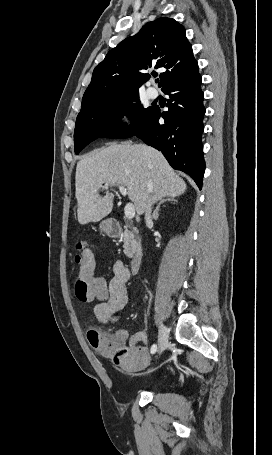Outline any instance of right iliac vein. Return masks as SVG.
Masks as SVG:
<instances>
[{
	"label": "right iliac vein",
	"mask_w": 272,
	"mask_h": 455,
	"mask_svg": "<svg viewBox=\"0 0 272 455\" xmlns=\"http://www.w3.org/2000/svg\"><path fill=\"white\" fill-rule=\"evenodd\" d=\"M168 345V330L164 324L159 326V338H158V355L166 349Z\"/></svg>",
	"instance_id": "1"
}]
</instances>
